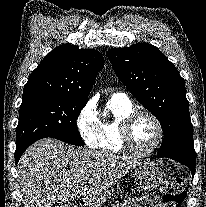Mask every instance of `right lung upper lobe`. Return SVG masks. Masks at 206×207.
I'll return each mask as SVG.
<instances>
[{"label":"right lung upper lobe","instance_id":"cb5924a9","mask_svg":"<svg viewBox=\"0 0 206 207\" xmlns=\"http://www.w3.org/2000/svg\"><path fill=\"white\" fill-rule=\"evenodd\" d=\"M103 65L102 55L94 49H79L71 44L58 46L30 75L22 101L51 96L87 103Z\"/></svg>","mask_w":206,"mask_h":207}]
</instances>
